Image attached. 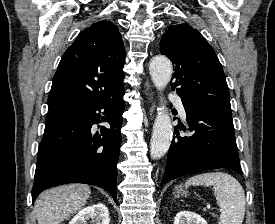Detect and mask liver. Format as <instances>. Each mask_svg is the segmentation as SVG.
Here are the masks:
<instances>
[{
  "label": "liver",
  "mask_w": 275,
  "mask_h": 224,
  "mask_svg": "<svg viewBox=\"0 0 275 224\" xmlns=\"http://www.w3.org/2000/svg\"><path fill=\"white\" fill-rule=\"evenodd\" d=\"M91 194L85 184L61 185L44 191L35 202L38 224H60L87 203Z\"/></svg>",
  "instance_id": "1"
}]
</instances>
